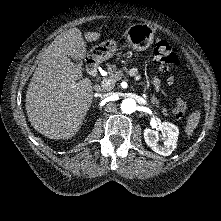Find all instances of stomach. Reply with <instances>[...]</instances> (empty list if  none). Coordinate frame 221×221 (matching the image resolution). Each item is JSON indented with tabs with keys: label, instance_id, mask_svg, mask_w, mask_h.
Returning <instances> with one entry per match:
<instances>
[{
	"label": "stomach",
	"instance_id": "1",
	"mask_svg": "<svg viewBox=\"0 0 221 221\" xmlns=\"http://www.w3.org/2000/svg\"><path fill=\"white\" fill-rule=\"evenodd\" d=\"M154 33L155 31L150 25L136 24L128 30V41L135 51H143L153 42ZM115 51L116 43L114 41H105L92 47L90 54L98 61H104L110 58Z\"/></svg>",
	"mask_w": 221,
	"mask_h": 221
}]
</instances>
